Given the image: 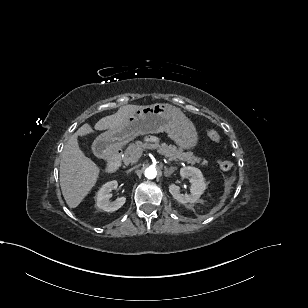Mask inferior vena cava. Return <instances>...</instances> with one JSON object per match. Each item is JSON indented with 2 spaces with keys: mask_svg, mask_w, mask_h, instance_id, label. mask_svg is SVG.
<instances>
[{
  "mask_svg": "<svg viewBox=\"0 0 308 308\" xmlns=\"http://www.w3.org/2000/svg\"><path fill=\"white\" fill-rule=\"evenodd\" d=\"M133 170V168L129 169L128 171H126L127 173L131 172Z\"/></svg>",
  "mask_w": 308,
  "mask_h": 308,
  "instance_id": "obj_1",
  "label": "inferior vena cava"
}]
</instances>
